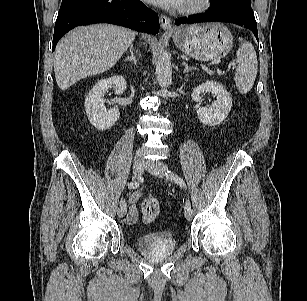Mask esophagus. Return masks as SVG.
<instances>
[{"instance_id":"esophagus-1","label":"esophagus","mask_w":307,"mask_h":301,"mask_svg":"<svg viewBox=\"0 0 307 301\" xmlns=\"http://www.w3.org/2000/svg\"><path fill=\"white\" fill-rule=\"evenodd\" d=\"M160 22H161V27L163 30L173 31L172 20L169 17L165 15H161Z\"/></svg>"}]
</instances>
